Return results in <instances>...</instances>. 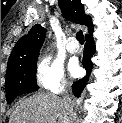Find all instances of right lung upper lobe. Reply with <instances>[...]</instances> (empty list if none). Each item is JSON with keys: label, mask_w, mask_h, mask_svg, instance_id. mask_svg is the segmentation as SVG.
Returning <instances> with one entry per match:
<instances>
[{"label": "right lung upper lobe", "mask_w": 122, "mask_h": 123, "mask_svg": "<svg viewBox=\"0 0 122 123\" xmlns=\"http://www.w3.org/2000/svg\"><path fill=\"white\" fill-rule=\"evenodd\" d=\"M58 4L66 19L86 25L89 32L93 30L91 18L84 13V5L81 3V0H58ZM45 36V29L40 24L34 25L28 35L20 38L14 46L8 60L7 69L18 66L22 62L38 56Z\"/></svg>", "instance_id": "1"}]
</instances>
